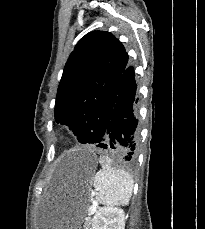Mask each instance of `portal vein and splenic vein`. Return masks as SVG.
Wrapping results in <instances>:
<instances>
[{"label": "portal vein and splenic vein", "mask_w": 205, "mask_h": 229, "mask_svg": "<svg viewBox=\"0 0 205 229\" xmlns=\"http://www.w3.org/2000/svg\"><path fill=\"white\" fill-rule=\"evenodd\" d=\"M97 205H98L97 202L94 201L90 210V214H93L95 212Z\"/></svg>", "instance_id": "18ae733b"}]
</instances>
